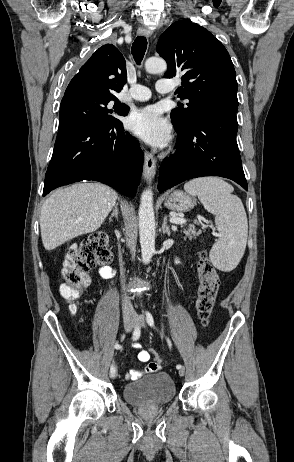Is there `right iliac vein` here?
<instances>
[{
	"label": "right iliac vein",
	"instance_id": "right-iliac-vein-1",
	"mask_svg": "<svg viewBox=\"0 0 294 462\" xmlns=\"http://www.w3.org/2000/svg\"><path fill=\"white\" fill-rule=\"evenodd\" d=\"M123 325H124V330L126 332H129L133 327V316L132 315H126L124 317V320H123ZM113 367H114V372H111V370H110V377L111 378H115L117 376L116 366L113 365Z\"/></svg>",
	"mask_w": 294,
	"mask_h": 462
}]
</instances>
